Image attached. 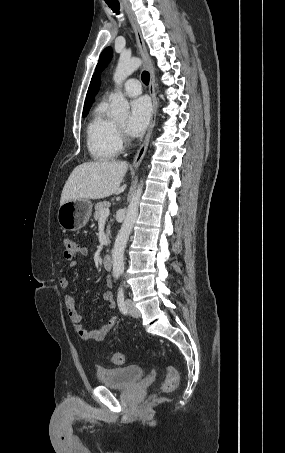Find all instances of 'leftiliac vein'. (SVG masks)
I'll use <instances>...</instances> for the list:
<instances>
[{
    "label": "left iliac vein",
    "mask_w": 285,
    "mask_h": 453,
    "mask_svg": "<svg viewBox=\"0 0 285 453\" xmlns=\"http://www.w3.org/2000/svg\"><path fill=\"white\" fill-rule=\"evenodd\" d=\"M125 305H126L127 310H128V312H129V314L131 316H133L135 318L140 317L141 314H140L139 310L136 308L134 302L131 299L127 298L125 300Z\"/></svg>",
    "instance_id": "1"
}]
</instances>
